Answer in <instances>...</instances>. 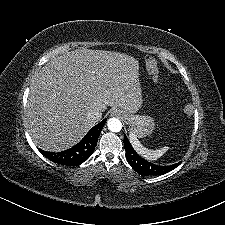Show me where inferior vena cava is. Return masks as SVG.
I'll return each instance as SVG.
<instances>
[{
	"label": "inferior vena cava",
	"mask_w": 225,
	"mask_h": 225,
	"mask_svg": "<svg viewBox=\"0 0 225 225\" xmlns=\"http://www.w3.org/2000/svg\"><path fill=\"white\" fill-rule=\"evenodd\" d=\"M88 115L91 117H101L102 113L98 108H92L89 110Z\"/></svg>",
	"instance_id": "602c4592"
}]
</instances>
